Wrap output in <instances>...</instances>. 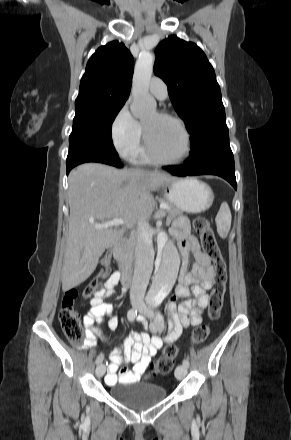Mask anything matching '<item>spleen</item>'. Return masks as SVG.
<instances>
[{
  "label": "spleen",
  "instance_id": "1",
  "mask_svg": "<svg viewBox=\"0 0 291 440\" xmlns=\"http://www.w3.org/2000/svg\"><path fill=\"white\" fill-rule=\"evenodd\" d=\"M231 212L227 202H223L215 218L217 232L221 238H226L231 227Z\"/></svg>",
  "mask_w": 291,
  "mask_h": 440
}]
</instances>
